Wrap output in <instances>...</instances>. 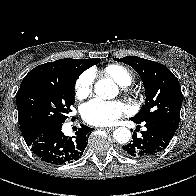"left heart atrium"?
I'll list each match as a JSON object with an SVG mask.
<instances>
[{"label": "left heart atrium", "instance_id": "obj_1", "mask_svg": "<svg viewBox=\"0 0 196 196\" xmlns=\"http://www.w3.org/2000/svg\"><path fill=\"white\" fill-rule=\"evenodd\" d=\"M129 107L120 101L94 99L84 104L81 115L85 122L95 126H108L115 123Z\"/></svg>", "mask_w": 196, "mask_h": 196}]
</instances>
